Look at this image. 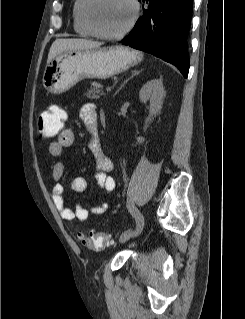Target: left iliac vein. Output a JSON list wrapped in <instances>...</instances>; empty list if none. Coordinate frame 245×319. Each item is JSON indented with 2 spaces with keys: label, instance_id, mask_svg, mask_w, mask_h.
Masks as SVG:
<instances>
[{
  "label": "left iliac vein",
  "instance_id": "1",
  "mask_svg": "<svg viewBox=\"0 0 245 319\" xmlns=\"http://www.w3.org/2000/svg\"><path fill=\"white\" fill-rule=\"evenodd\" d=\"M129 230H131V229H129ZM129 230L122 233V235L120 236V239H119L120 243H125L130 238L137 236L141 232L142 229L140 231H137V229L135 231H129Z\"/></svg>",
  "mask_w": 245,
  "mask_h": 319
}]
</instances>
